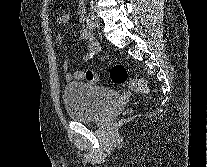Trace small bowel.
Instances as JSON below:
<instances>
[{"label":"small bowel","instance_id":"obj_1","mask_svg":"<svg viewBox=\"0 0 207 167\" xmlns=\"http://www.w3.org/2000/svg\"><path fill=\"white\" fill-rule=\"evenodd\" d=\"M69 19H70V16L68 14H60L55 18V21L58 24H66L69 21ZM78 19L82 26L81 31H80V38L88 43L87 50L82 55V59L87 62V61L92 60L94 56L97 54L99 50V44L94 38L92 32L88 28H85L83 25V20H84L83 2H79V5H78ZM56 41L62 45L64 42L62 35L57 34ZM63 70L65 72V78L68 81L82 80L85 78V73L82 71H74V72L70 71L69 61L67 58L64 59Z\"/></svg>","mask_w":207,"mask_h":167}]
</instances>
